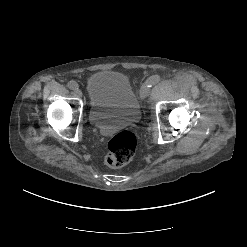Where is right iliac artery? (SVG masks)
<instances>
[{"instance_id":"right-iliac-artery-1","label":"right iliac artery","mask_w":247,"mask_h":247,"mask_svg":"<svg viewBox=\"0 0 247 247\" xmlns=\"http://www.w3.org/2000/svg\"><path fill=\"white\" fill-rule=\"evenodd\" d=\"M68 88L71 90H75L78 88V84L75 81H69L67 84Z\"/></svg>"}]
</instances>
